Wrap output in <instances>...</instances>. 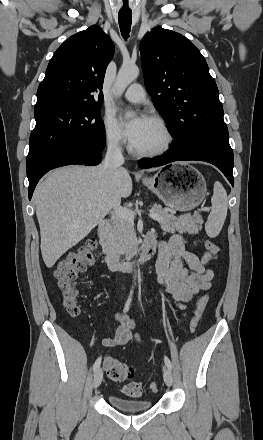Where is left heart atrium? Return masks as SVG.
Masks as SVG:
<instances>
[{"label":"left heart atrium","mask_w":263,"mask_h":440,"mask_svg":"<svg viewBox=\"0 0 263 440\" xmlns=\"http://www.w3.org/2000/svg\"><path fill=\"white\" fill-rule=\"evenodd\" d=\"M147 121L148 118H146L145 116H137L124 124L125 135L132 145H134L138 141Z\"/></svg>","instance_id":"left-heart-atrium-1"}]
</instances>
